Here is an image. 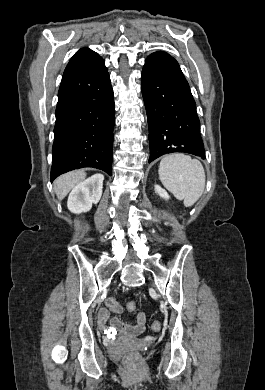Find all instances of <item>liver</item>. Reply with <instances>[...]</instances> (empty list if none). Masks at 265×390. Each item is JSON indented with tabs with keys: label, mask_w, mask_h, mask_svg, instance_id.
Listing matches in <instances>:
<instances>
[{
	"label": "liver",
	"mask_w": 265,
	"mask_h": 390,
	"mask_svg": "<svg viewBox=\"0 0 265 390\" xmlns=\"http://www.w3.org/2000/svg\"><path fill=\"white\" fill-rule=\"evenodd\" d=\"M86 178L82 170L66 173L56 179L54 190L59 200H62L76 185Z\"/></svg>",
	"instance_id": "liver-1"
}]
</instances>
